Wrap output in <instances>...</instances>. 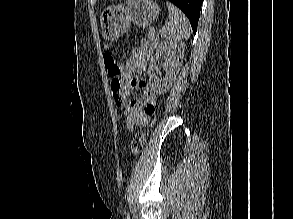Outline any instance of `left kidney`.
<instances>
[{"mask_svg":"<svg viewBox=\"0 0 293 219\" xmlns=\"http://www.w3.org/2000/svg\"><path fill=\"white\" fill-rule=\"evenodd\" d=\"M166 55V63L164 64L165 76L162 79H158L154 73L157 70L156 63L161 55ZM184 57V44L180 42H174L166 39L161 41L154 58L148 68L149 85L151 89L157 94L166 93L173 84L177 73L181 67Z\"/></svg>","mask_w":293,"mask_h":219,"instance_id":"left-kidney-1","label":"left kidney"}]
</instances>
